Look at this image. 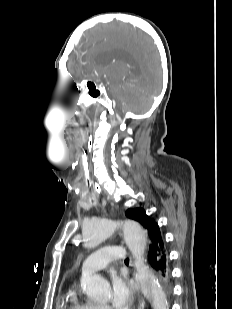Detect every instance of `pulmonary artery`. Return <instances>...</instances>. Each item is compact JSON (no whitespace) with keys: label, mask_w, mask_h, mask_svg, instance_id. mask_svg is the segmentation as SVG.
<instances>
[{"label":"pulmonary artery","mask_w":232,"mask_h":309,"mask_svg":"<svg viewBox=\"0 0 232 309\" xmlns=\"http://www.w3.org/2000/svg\"><path fill=\"white\" fill-rule=\"evenodd\" d=\"M126 256L123 248L107 246L90 254L81 265L82 274H91L102 269L109 261H122Z\"/></svg>","instance_id":"pulmonary-artery-1"}]
</instances>
